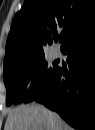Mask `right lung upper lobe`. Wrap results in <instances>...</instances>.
<instances>
[{
  "instance_id": "cb5924a9",
  "label": "right lung upper lobe",
  "mask_w": 95,
  "mask_h": 130,
  "mask_svg": "<svg viewBox=\"0 0 95 130\" xmlns=\"http://www.w3.org/2000/svg\"><path fill=\"white\" fill-rule=\"evenodd\" d=\"M61 30V50L95 32V1H26L12 21L3 71L44 58L45 46L51 44Z\"/></svg>"
}]
</instances>
